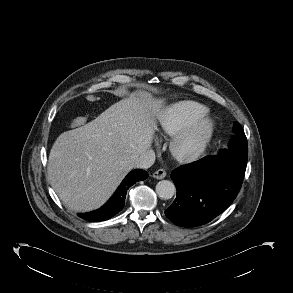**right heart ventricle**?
<instances>
[{
    "instance_id": "obj_1",
    "label": "right heart ventricle",
    "mask_w": 293,
    "mask_h": 293,
    "mask_svg": "<svg viewBox=\"0 0 293 293\" xmlns=\"http://www.w3.org/2000/svg\"><path fill=\"white\" fill-rule=\"evenodd\" d=\"M207 108L195 101H180L168 107L159 118V131L174 136L193 121L207 114Z\"/></svg>"
}]
</instances>
